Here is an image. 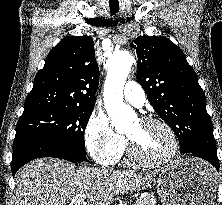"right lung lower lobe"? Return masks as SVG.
I'll list each match as a JSON object with an SVG mask.
<instances>
[{"label": "right lung lower lobe", "mask_w": 222, "mask_h": 205, "mask_svg": "<svg viewBox=\"0 0 222 205\" xmlns=\"http://www.w3.org/2000/svg\"><path fill=\"white\" fill-rule=\"evenodd\" d=\"M41 157H55L80 163L86 160L85 155L76 153L74 150L41 137H22L14 139L13 155L11 161L12 174L27 162Z\"/></svg>", "instance_id": "obj_1"}]
</instances>
